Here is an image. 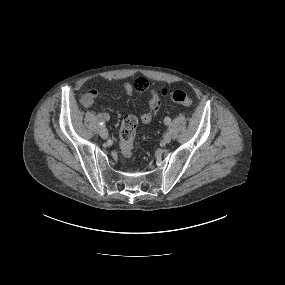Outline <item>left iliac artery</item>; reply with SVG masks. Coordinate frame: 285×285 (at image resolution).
Segmentation results:
<instances>
[{
  "label": "left iliac artery",
  "mask_w": 285,
  "mask_h": 285,
  "mask_svg": "<svg viewBox=\"0 0 285 285\" xmlns=\"http://www.w3.org/2000/svg\"><path fill=\"white\" fill-rule=\"evenodd\" d=\"M170 121H171V119H170L169 117H166V118L164 119V123H165L166 125H169V124H170Z\"/></svg>",
  "instance_id": "obj_1"
}]
</instances>
